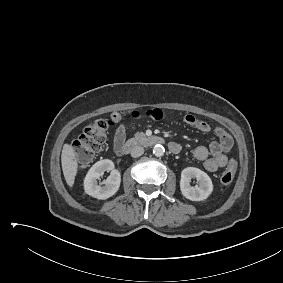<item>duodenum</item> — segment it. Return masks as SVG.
<instances>
[{"mask_svg": "<svg viewBox=\"0 0 283 283\" xmlns=\"http://www.w3.org/2000/svg\"><path fill=\"white\" fill-rule=\"evenodd\" d=\"M165 140L164 138L160 136H149L145 138H134L126 142L125 144L122 145L120 148L118 154L119 155H126L128 154L131 150L136 148L137 146L140 145H146V146H154L158 144H164ZM170 147V144H169Z\"/></svg>", "mask_w": 283, "mask_h": 283, "instance_id": "obj_1", "label": "duodenum"}]
</instances>
